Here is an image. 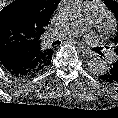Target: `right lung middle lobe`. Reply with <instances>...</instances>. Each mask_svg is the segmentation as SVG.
Instances as JSON below:
<instances>
[{
	"label": "right lung middle lobe",
	"mask_w": 118,
	"mask_h": 118,
	"mask_svg": "<svg viewBox=\"0 0 118 118\" xmlns=\"http://www.w3.org/2000/svg\"><path fill=\"white\" fill-rule=\"evenodd\" d=\"M0 15L16 35L22 34L27 29V4L25 2L13 1L0 12Z\"/></svg>",
	"instance_id": "1"
}]
</instances>
